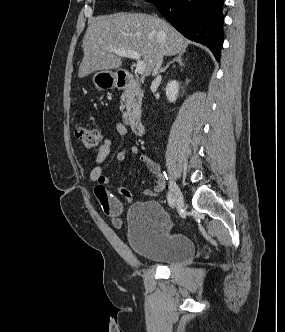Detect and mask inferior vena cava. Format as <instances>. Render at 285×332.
<instances>
[{"instance_id":"inferior-vena-cava-1","label":"inferior vena cava","mask_w":285,"mask_h":332,"mask_svg":"<svg viewBox=\"0 0 285 332\" xmlns=\"http://www.w3.org/2000/svg\"><path fill=\"white\" fill-rule=\"evenodd\" d=\"M162 61H163V54L161 53L155 63V66L153 68V72H152V75L153 76H157L158 73H159V69H160V66L162 64ZM157 78H160V76L158 75Z\"/></svg>"}]
</instances>
